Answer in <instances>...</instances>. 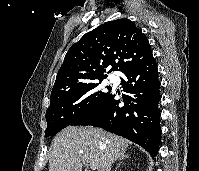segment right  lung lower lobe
I'll use <instances>...</instances> for the list:
<instances>
[{"label": "right lung lower lobe", "instance_id": "right-lung-lower-lobe-1", "mask_svg": "<svg viewBox=\"0 0 199 171\" xmlns=\"http://www.w3.org/2000/svg\"><path fill=\"white\" fill-rule=\"evenodd\" d=\"M122 73L123 106L114 95H108L96 106L75 119L70 125H91L122 136L139 144L152 155L159 148L160 82L153 56L138 62Z\"/></svg>", "mask_w": 199, "mask_h": 171}]
</instances>
